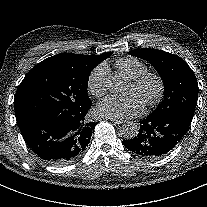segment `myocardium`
I'll return each instance as SVG.
<instances>
[{"mask_svg":"<svg viewBox=\"0 0 207 207\" xmlns=\"http://www.w3.org/2000/svg\"><path fill=\"white\" fill-rule=\"evenodd\" d=\"M151 83L155 85V92L145 100L146 107L156 106L162 101L165 94V82L162 76L158 73L146 72L132 83L134 90L138 92H143Z\"/></svg>","mask_w":207,"mask_h":207,"instance_id":"1","label":"myocardium"}]
</instances>
